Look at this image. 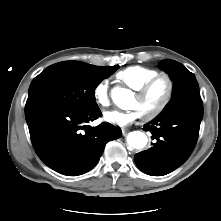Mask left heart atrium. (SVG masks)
Here are the masks:
<instances>
[{"instance_id":"obj_1","label":"left heart atrium","mask_w":221,"mask_h":221,"mask_svg":"<svg viewBox=\"0 0 221 221\" xmlns=\"http://www.w3.org/2000/svg\"><path fill=\"white\" fill-rule=\"evenodd\" d=\"M141 114L137 109H132L130 111H119V110H112L105 113V120L121 126L126 127L132 124L135 120L140 118Z\"/></svg>"}]
</instances>
